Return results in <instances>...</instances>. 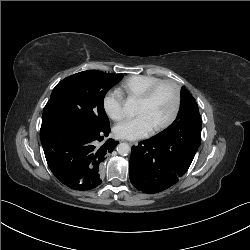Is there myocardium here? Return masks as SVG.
<instances>
[{"instance_id": "1", "label": "myocardium", "mask_w": 250, "mask_h": 250, "mask_svg": "<svg viewBox=\"0 0 250 250\" xmlns=\"http://www.w3.org/2000/svg\"><path fill=\"white\" fill-rule=\"evenodd\" d=\"M170 86L174 92V108L170 117L159 126L153 129L154 133H159L169 128L177 119L181 107V90L177 83L172 80H161L150 86L142 95L138 97L140 102H148L162 86Z\"/></svg>"}]
</instances>
